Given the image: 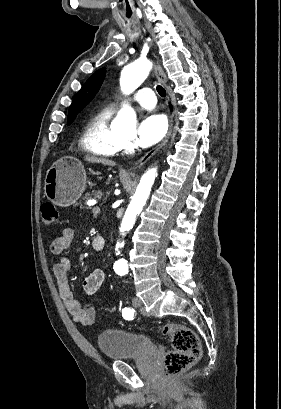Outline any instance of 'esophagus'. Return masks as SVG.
<instances>
[{"label":"esophagus","instance_id":"34e87169","mask_svg":"<svg viewBox=\"0 0 281 409\" xmlns=\"http://www.w3.org/2000/svg\"><path fill=\"white\" fill-rule=\"evenodd\" d=\"M155 75L157 77V79L159 80V82H161L163 85L167 84V77L162 69V67L160 66L159 62L156 60L155 63ZM172 127H173V115H171V120H170V126L168 129L167 134L165 135L164 140L157 145V147H155L152 150H149V152H147L141 159H139L133 168H140L142 167V165H144L149 159L150 157H152V155H154L163 145H165V143L168 141V139L170 138L171 132H172Z\"/></svg>","mask_w":281,"mask_h":409}]
</instances>
